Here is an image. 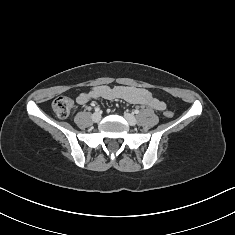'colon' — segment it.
Masks as SVG:
<instances>
[{"label": "colon", "instance_id": "colon-1", "mask_svg": "<svg viewBox=\"0 0 235 235\" xmlns=\"http://www.w3.org/2000/svg\"><path fill=\"white\" fill-rule=\"evenodd\" d=\"M52 108L59 118H66L71 113L73 102L66 96H59L53 101ZM164 114L168 118L173 116V112L169 110L166 111Z\"/></svg>", "mask_w": 235, "mask_h": 235}]
</instances>
